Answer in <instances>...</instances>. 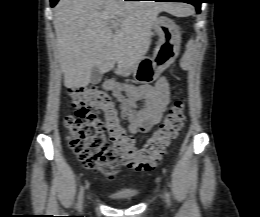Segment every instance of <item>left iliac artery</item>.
<instances>
[{
  "label": "left iliac artery",
  "instance_id": "left-iliac-artery-1",
  "mask_svg": "<svg viewBox=\"0 0 260 217\" xmlns=\"http://www.w3.org/2000/svg\"><path fill=\"white\" fill-rule=\"evenodd\" d=\"M165 199L168 205H170V196L168 194V192H165Z\"/></svg>",
  "mask_w": 260,
  "mask_h": 217
}]
</instances>
